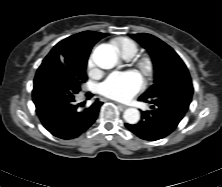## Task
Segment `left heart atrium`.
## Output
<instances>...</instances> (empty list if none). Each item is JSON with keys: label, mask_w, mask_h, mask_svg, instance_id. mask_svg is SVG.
Instances as JSON below:
<instances>
[{"label": "left heart atrium", "mask_w": 222, "mask_h": 187, "mask_svg": "<svg viewBox=\"0 0 222 187\" xmlns=\"http://www.w3.org/2000/svg\"><path fill=\"white\" fill-rule=\"evenodd\" d=\"M144 86L142 76L134 70L111 73L101 84L100 92L111 99L128 101Z\"/></svg>", "instance_id": "left-heart-atrium-1"}]
</instances>
